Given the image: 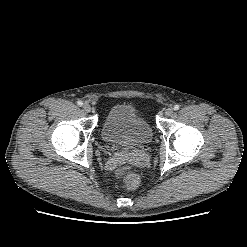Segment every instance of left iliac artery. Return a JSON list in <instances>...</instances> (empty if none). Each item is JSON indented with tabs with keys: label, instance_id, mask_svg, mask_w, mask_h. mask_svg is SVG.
I'll return each instance as SVG.
<instances>
[{
	"label": "left iliac artery",
	"instance_id": "44dca946",
	"mask_svg": "<svg viewBox=\"0 0 247 247\" xmlns=\"http://www.w3.org/2000/svg\"><path fill=\"white\" fill-rule=\"evenodd\" d=\"M179 108H180L179 105L174 106V110H179Z\"/></svg>",
	"mask_w": 247,
	"mask_h": 247
}]
</instances>
